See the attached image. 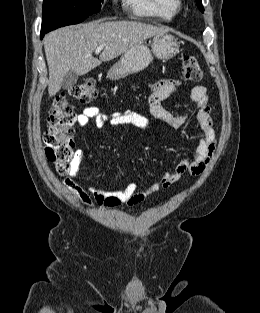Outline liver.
I'll return each mask as SVG.
<instances>
[{"label":"liver","mask_w":260,"mask_h":313,"mask_svg":"<svg viewBox=\"0 0 260 313\" xmlns=\"http://www.w3.org/2000/svg\"><path fill=\"white\" fill-rule=\"evenodd\" d=\"M137 21H92L59 28L44 37V49L49 70L48 94L56 95L69 71L85 75L103 61H110L147 38L168 32ZM104 45L99 59L95 49Z\"/></svg>","instance_id":"6515ba94"}]
</instances>
